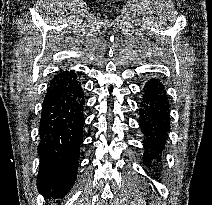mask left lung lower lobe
<instances>
[{
	"label": "left lung lower lobe",
	"mask_w": 212,
	"mask_h": 205,
	"mask_svg": "<svg viewBox=\"0 0 212 205\" xmlns=\"http://www.w3.org/2000/svg\"><path fill=\"white\" fill-rule=\"evenodd\" d=\"M139 124L145 135L144 157L146 165L160 162L170 129L169 102L164 85L158 79H150L144 87L140 103Z\"/></svg>",
	"instance_id": "obj_1"
}]
</instances>
